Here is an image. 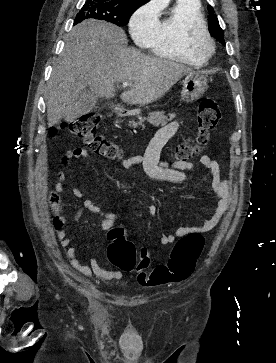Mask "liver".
Returning <instances> with one entry per match:
<instances>
[{"mask_svg":"<svg viewBox=\"0 0 276 363\" xmlns=\"http://www.w3.org/2000/svg\"><path fill=\"white\" fill-rule=\"evenodd\" d=\"M126 44L123 29L104 21L89 19L70 31L48 84V127L72 112L86 88L95 97L109 99L115 96V83H133L120 98L128 104L145 105L194 73L186 65L151 57Z\"/></svg>","mask_w":276,"mask_h":363,"instance_id":"liver-1","label":"liver"}]
</instances>
